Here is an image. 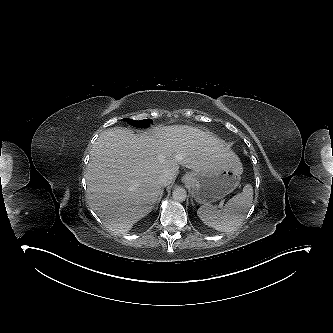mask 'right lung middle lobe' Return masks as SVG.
Wrapping results in <instances>:
<instances>
[{
    "label": "right lung middle lobe",
    "mask_w": 333,
    "mask_h": 333,
    "mask_svg": "<svg viewBox=\"0 0 333 333\" xmlns=\"http://www.w3.org/2000/svg\"><path fill=\"white\" fill-rule=\"evenodd\" d=\"M126 122H128L129 124L135 126V127H141V128H146L149 127L150 124H152V120L151 119H145V120H140V121H136V120H131V119H123Z\"/></svg>",
    "instance_id": "1"
}]
</instances>
